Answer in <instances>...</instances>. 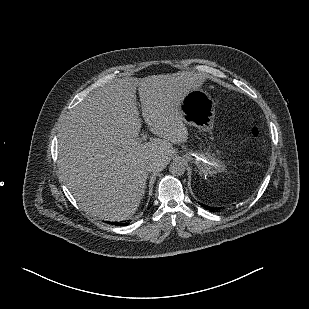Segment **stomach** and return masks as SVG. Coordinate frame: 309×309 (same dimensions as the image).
Returning <instances> with one entry per match:
<instances>
[{"mask_svg": "<svg viewBox=\"0 0 309 309\" xmlns=\"http://www.w3.org/2000/svg\"><path fill=\"white\" fill-rule=\"evenodd\" d=\"M197 93L187 96L180 109L182 122L190 127H204L213 117L208 99H198Z\"/></svg>", "mask_w": 309, "mask_h": 309, "instance_id": "stomach-1", "label": "stomach"}]
</instances>
